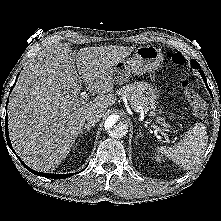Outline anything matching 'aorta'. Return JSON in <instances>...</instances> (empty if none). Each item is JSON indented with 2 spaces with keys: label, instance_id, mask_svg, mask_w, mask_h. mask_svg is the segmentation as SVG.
Wrapping results in <instances>:
<instances>
[{
  "label": "aorta",
  "instance_id": "762f6f07",
  "mask_svg": "<svg viewBox=\"0 0 221 221\" xmlns=\"http://www.w3.org/2000/svg\"><path fill=\"white\" fill-rule=\"evenodd\" d=\"M105 130L113 138H121L128 132V123L118 115H111L105 121Z\"/></svg>",
  "mask_w": 221,
  "mask_h": 221
}]
</instances>
